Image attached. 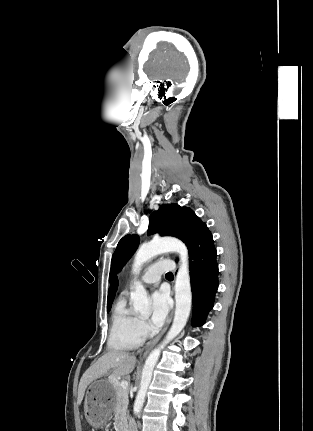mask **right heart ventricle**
Returning <instances> with one entry per match:
<instances>
[{"instance_id": "e07e8e85", "label": "right heart ventricle", "mask_w": 313, "mask_h": 431, "mask_svg": "<svg viewBox=\"0 0 313 431\" xmlns=\"http://www.w3.org/2000/svg\"><path fill=\"white\" fill-rule=\"evenodd\" d=\"M138 315L128 306L124 299L115 305L112 316V328L109 337V346L117 350H131L138 347L142 341L137 330Z\"/></svg>"}]
</instances>
